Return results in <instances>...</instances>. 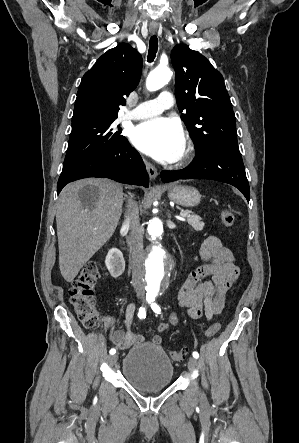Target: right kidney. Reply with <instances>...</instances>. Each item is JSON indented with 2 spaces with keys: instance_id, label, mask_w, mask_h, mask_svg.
Instances as JSON below:
<instances>
[{
  "instance_id": "1",
  "label": "right kidney",
  "mask_w": 299,
  "mask_h": 443,
  "mask_svg": "<svg viewBox=\"0 0 299 443\" xmlns=\"http://www.w3.org/2000/svg\"><path fill=\"white\" fill-rule=\"evenodd\" d=\"M105 264L113 278H117L125 270V261L122 252L117 248H112L108 251L105 259Z\"/></svg>"
}]
</instances>
